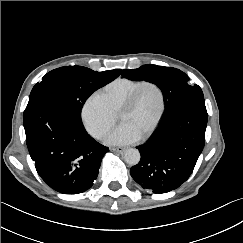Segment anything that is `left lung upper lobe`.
Instances as JSON below:
<instances>
[{"instance_id": "5c2ea615", "label": "left lung upper lobe", "mask_w": 243, "mask_h": 243, "mask_svg": "<svg viewBox=\"0 0 243 243\" xmlns=\"http://www.w3.org/2000/svg\"><path fill=\"white\" fill-rule=\"evenodd\" d=\"M122 76L131 80L148 81L162 91L165 104L164 119L184 103L204 97L198 85H190L188 76L179 69L157 65H143L138 69H125Z\"/></svg>"}]
</instances>
